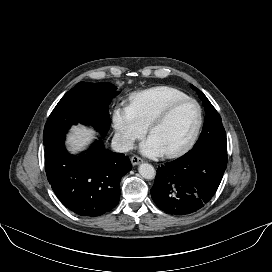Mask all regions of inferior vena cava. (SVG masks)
Listing matches in <instances>:
<instances>
[{
  "label": "inferior vena cava",
  "mask_w": 272,
  "mask_h": 272,
  "mask_svg": "<svg viewBox=\"0 0 272 272\" xmlns=\"http://www.w3.org/2000/svg\"><path fill=\"white\" fill-rule=\"evenodd\" d=\"M111 147L115 152H128L133 149V142L116 134L112 139Z\"/></svg>",
  "instance_id": "obj_1"
}]
</instances>
